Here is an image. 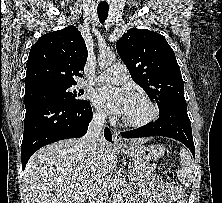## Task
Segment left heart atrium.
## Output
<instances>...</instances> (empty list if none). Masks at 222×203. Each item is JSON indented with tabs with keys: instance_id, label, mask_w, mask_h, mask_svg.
Instances as JSON below:
<instances>
[{
	"instance_id": "39dd6f15",
	"label": "left heart atrium",
	"mask_w": 222,
	"mask_h": 203,
	"mask_svg": "<svg viewBox=\"0 0 222 203\" xmlns=\"http://www.w3.org/2000/svg\"><path fill=\"white\" fill-rule=\"evenodd\" d=\"M92 98L97 107L110 114L123 116L131 96L125 89L108 86L96 89Z\"/></svg>"
}]
</instances>
